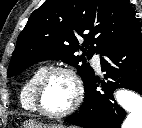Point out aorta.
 I'll list each match as a JSON object with an SVG mask.
<instances>
[{"mask_svg": "<svg viewBox=\"0 0 142 128\" xmlns=\"http://www.w3.org/2000/svg\"><path fill=\"white\" fill-rule=\"evenodd\" d=\"M117 103L128 112L122 128H142V97L129 90H118Z\"/></svg>", "mask_w": 142, "mask_h": 128, "instance_id": "1", "label": "aorta"}]
</instances>
